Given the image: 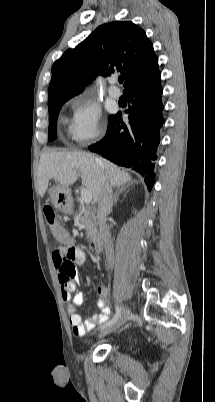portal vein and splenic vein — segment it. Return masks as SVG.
Returning a JSON list of instances; mask_svg holds the SVG:
<instances>
[{
	"label": "portal vein and splenic vein",
	"mask_w": 215,
	"mask_h": 402,
	"mask_svg": "<svg viewBox=\"0 0 215 402\" xmlns=\"http://www.w3.org/2000/svg\"><path fill=\"white\" fill-rule=\"evenodd\" d=\"M81 198L85 204H89L92 201V195L87 188L81 189Z\"/></svg>",
	"instance_id": "18ae733b"
}]
</instances>
